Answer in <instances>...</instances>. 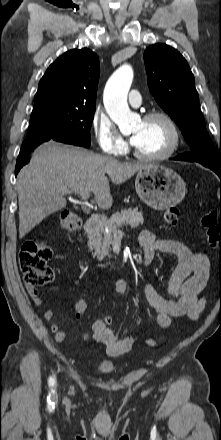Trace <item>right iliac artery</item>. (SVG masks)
Here are the masks:
<instances>
[{
    "label": "right iliac artery",
    "mask_w": 221,
    "mask_h": 440,
    "mask_svg": "<svg viewBox=\"0 0 221 440\" xmlns=\"http://www.w3.org/2000/svg\"><path fill=\"white\" fill-rule=\"evenodd\" d=\"M54 385V379L53 378H50V380H49V386H53Z\"/></svg>",
    "instance_id": "82829eb1"
}]
</instances>
